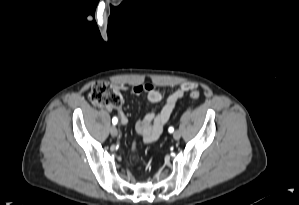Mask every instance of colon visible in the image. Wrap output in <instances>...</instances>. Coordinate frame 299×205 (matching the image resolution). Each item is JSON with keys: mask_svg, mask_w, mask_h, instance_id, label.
Masks as SVG:
<instances>
[{"mask_svg": "<svg viewBox=\"0 0 299 205\" xmlns=\"http://www.w3.org/2000/svg\"><path fill=\"white\" fill-rule=\"evenodd\" d=\"M192 99H199L200 93L196 89L190 90ZM90 101L97 106L107 109L118 108L122 103V93L119 88L111 85L107 81L94 83L89 93Z\"/></svg>", "mask_w": 299, "mask_h": 205, "instance_id": "obj_1", "label": "colon"}]
</instances>
